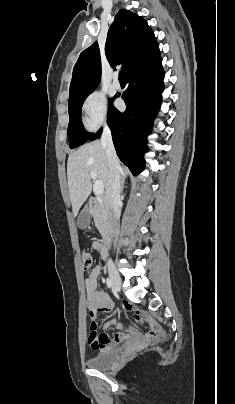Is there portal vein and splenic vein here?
<instances>
[{
    "mask_svg": "<svg viewBox=\"0 0 235 404\" xmlns=\"http://www.w3.org/2000/svg\"><path fill=\"white\" fill-rule=\"evenodd\" d=\"M91 178L94 180L93 190L96 195H101L104 191L103 182L97 179L95 172L90 173Z\"/></svg>",
    "mask_w": 235,
    "mask_h": 404,
    "instance_id": "1",
    "label": "portal vein and splenic vein"
}]
</instances>
